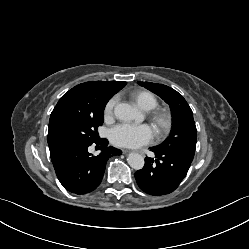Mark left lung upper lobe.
<instances>
[{
  "label": "left lung upper lobe",
  "mask_w": 249,
  "mask_h": 249,
  "mask_svg": "<svg viewBox=\"0 0 249 249\" xmlns=\"http://www.w3.org/2000/svg\"><path fill=\"white\" fill-rule=\"evenodd\" d=\"M139 85L149 89L169 104L173 125L170 136L157 149L162 151H177L194 155L197 141V130L193 119V112L183 98L174 89L156 83L138 82Z\"/></svg>",
  "instance_id": "1"
}]
</instances>
